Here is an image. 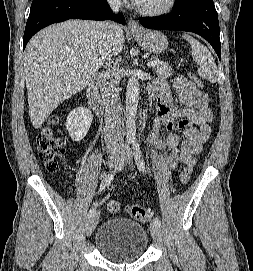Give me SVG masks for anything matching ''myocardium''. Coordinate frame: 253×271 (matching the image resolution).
I'll use <instances>...</instances> for the list:
<instances>
[{
    "label": "myocardium",
    "instance_id": "obj_1",
    "mask_svg": "<svg viewBox=\"0 0 253 271\" xmlns=\"http://www.w3.org/2000/svg\"><path fill=\"white\" fill-rule=\"evenodd\" d=\"M176 2L177 0H166L163 5L151 8L141 7L136 4V10L145 16L158 17L170 13L174 9Z\"/></svg>",
    "mask_w": 253,
    "mask_h": 271
}]
</instances>
